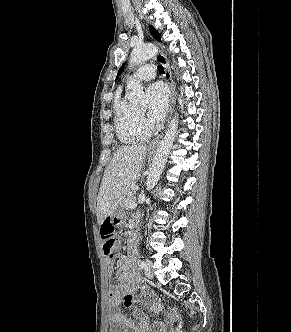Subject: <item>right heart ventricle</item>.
Returning <instances> with one entry per match:
<instances>
[{"label": "right heart ventricle", "instance_id": "right-heart-ventricle-1", "mask_svg": "<svg viewBox=\"0 0 291 332\" xmlns=\"http://www.w3.org/2000/svg\"><path fill=\"white\" fill-rule=\"evenodd\" d=\"M114 125L117 137L126 144L136 143L148 137L147 130L140 124V114L126 98L118 96L113 104Z\"/></svg>", "mask_w": 291, "mask_h": 332}]
</instances>
